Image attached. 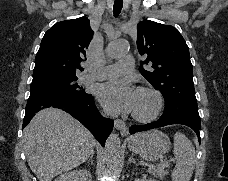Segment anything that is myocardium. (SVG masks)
Returning a JSON list of instances; mask_svg holds the SVG:
<instances>
[{"mask_svg":"<svg viewBox=\"0 0 228 181\" xmlns=\"http://www.w3.org/2000/svg\"><path fill=\"white\" fill-rule=\"evenodd\" d=\"M137 91L138 92L146 91V92L150 93L154 98V106L148 114H140L138 112H135L133 114L134 118L141 122H149V121L154 120L159 115V113L162 109L163 97H162L161 93L157 89H155L153 87H149V86L138 87Z\"/></svg>","mask_w":228,"mask_h":181,"instance_id":"obj_1","label":"myocardium"}]
</instances>
